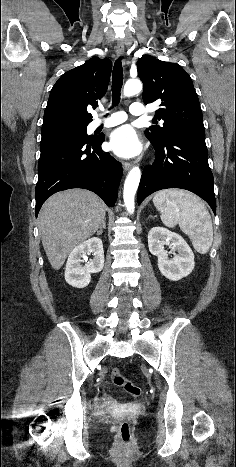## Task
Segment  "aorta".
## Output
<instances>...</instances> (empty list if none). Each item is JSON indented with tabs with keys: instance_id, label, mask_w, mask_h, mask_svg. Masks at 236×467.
<instances>
[{
	"instance_id": "762f6f07",
	"label": "aorta",
	"mask_w": 236,
	"mask_h": 467,
	"mask_svg": "<svg viewBox=\"0 0 236 467\" xmlns=\"http://www.w3.org/2000/svg\"><path fill=\"white\" fill-rule=\"evenodd\" d=\"M142 90V83L138 79H130L124 86L123 93L125 96L135 95ZM141 178V170L139 167H133L128 173L123 190V199L126 210L129 214L134 213L135 209V194Z\"/></svg>"
}]
</instances>
